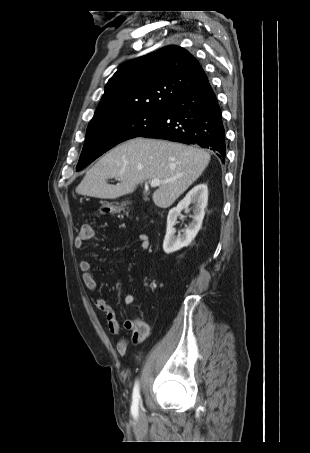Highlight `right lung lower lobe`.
Returning <instances> with one entry per match:
<instances>
[{"mask_svg":"<svg viewBox=\"0 0 310 453\" xmlns=\"http://www.w3.org/2000/svg\"><path fill=\"white\" fill-rule=\"evenodd\" d=\"M140 136L198 144L214 151L225 162L222 113L207 76L166 106L158 122Z\"/></svg>","mask_w":310,"mask_h":453,"instance_id":"obj_1","label":"right lung lower lobe"}]
</instances>
